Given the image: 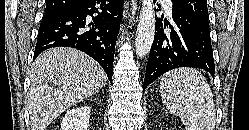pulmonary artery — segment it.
Masks as SVG:
<instances>
[{
    "label": "pulmonary artery",
    "instance_id": "obj_1",
    "mask_svg": "<svg viewBox=\"0 0 249 130\" xmlns=\"http://www.w3.org/2000/svg\"><path fill=\"white\" fill-rule=\"evenodd\" d=\"M161 2L163 3L165 9L167 10V12L170 14L172 12V2L171 0H161Z\"/></svg>",
    "mask_w": 249,
    "mask_h": 130
}]
</instances>
